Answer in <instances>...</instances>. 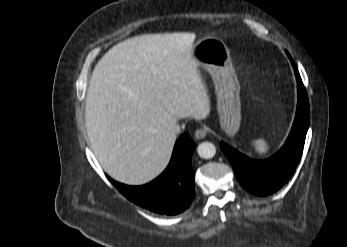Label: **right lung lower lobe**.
I'll use <instances>...</instances> for the list:
<instances>
[{
    "instance_id": "obj_1",
    "label": "right lung lower lobe",
    "mask_w": 347,
    "mask_h": 247,
    "mask_svg": "<svg viewBox=\"0 0 347 247\" xmlns=\"http://www.w3.org/2000/svg\"><path fill=\"white\" fill-rule=\"evenodd\" d=\"M194 142L188 133L177 141L166 170L143 186H127L110 181L129 200L159 214L175 215L186 210L195 196L191 165Z\"/></svg>"
}]
</instances>
